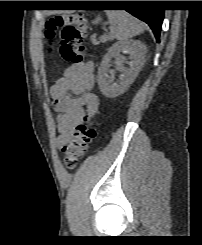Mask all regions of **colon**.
Returning a JSON list of instances; mask_svg holds the SVG:
<instances>
[{"mask_svg":"<svg viewBox=\"0 0 202 245\" xmlns=\"http://www.w3.org/2000/svg\"><path fill=\"white\" fill-rule=\"evenodd\" d=\"M46 37L56 39L59 56L70 63H79L86 54L83 40L87 33V22L83 16L56 15L50 17L45 25ZM96 136L92 124H83L74 137L62 148L63 163L68 169H74Z\"/></svg>","mask_w":202,"mask_h":245,"instance_id":"colon-1","label":"colon"}]
</instances>
